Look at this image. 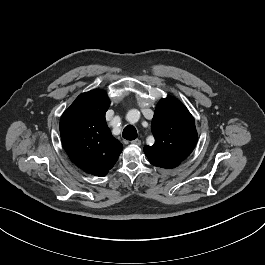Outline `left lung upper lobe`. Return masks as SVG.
<instances>
[{
    "label": "left lung upper lobe",
    "mask_w": 265,
    "mask_h": 265,
    "mask_svg": "<svg viewBox=\"0 0 265 265\" xmlns=\"http://www.w3.org/2000/svg\"><path fill=\"white\" fill-rule=\"evenodd\" d=\"M151 130L155 138L144 152L150 163L161 168H174L185 160L197 143L195 121L188 109L168 96L158 103Z\"/></svg>",
    "instance_id": "left-lung-upper-lobe-1"
}]
</instances>
